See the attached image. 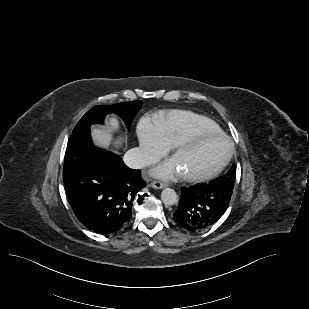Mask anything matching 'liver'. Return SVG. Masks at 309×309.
<instances>
[{"mask_svg": "<svg viewBox=\"0 0 309 309\" xmlns=\"http://www.w3.org/2000/svg\"><path fill=\"white\" fill-rule=\"evenodd\" d=\"M107 128H92V137L96 146L108 149L111 145H120L123 142V137L118 136L117 140L113 141V134L120 129L117 118H108Z\"/></svg>", "mask_w": 309, "mask_h": 309, "instance_id": "1", "label": "liver"}]
</instances>
